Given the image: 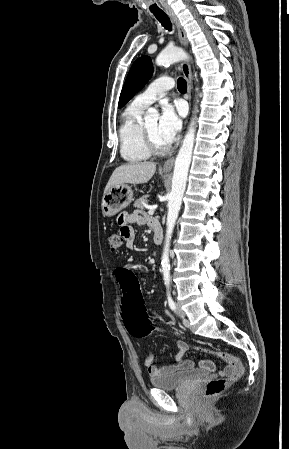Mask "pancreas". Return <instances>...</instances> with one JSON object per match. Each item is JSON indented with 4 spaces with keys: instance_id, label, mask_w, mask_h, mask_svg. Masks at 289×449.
<instances>
[{
    "instance_id": "cf45deb5",
    "label": "pancreas",
    "mask_w": 289,
    "mask_h": 449,
    "mask_svg": "<svg viewBox=\"0 0 289 449\" xmlns=\"http://www.w3.org/2000/svg\"><path fill=\"white\" fill-rule=\"evenodd\" d=\"M148 195H144L141 198L137 199L134 203V206L139 209H144L145 205L148 204Z\"/></svg>"
}]
</instances>
